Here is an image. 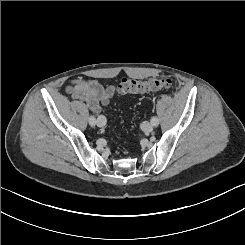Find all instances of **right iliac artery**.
Returning <instances> with one entry per match:
<instances>
[{
    "mask_svg": "<svg viewBox=\"0 0 245 245\" xmlns=\"http://www.w3.org/2000/svg\"><path fill=\"white\" fill-rule=\"evenodd\" d=\"M89 124L91 126H94L96 124V119H95L94 116H90V118H89Z\"/></svg>",
    "mask_w": 245,
    "mask_h": 245,
    "instance_id": "right-iliac-artery-1",
    "label": "right iliac artery"
}]
</instances>
